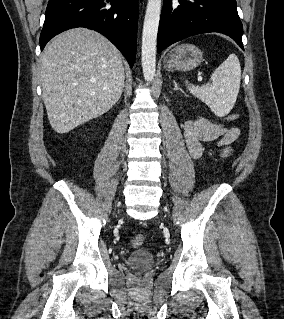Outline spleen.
<instances>
[{"label": "spleen", "instance_id": "spleen-1", "mask_svg": "<svg viewBox=\"0 0 284 319\" xmlns=\"http://www.w3.org/2000/svg\"><path fill=\"white\" fill-rule=\"evenodd\" d=\"M211 83L202 86L188 85V90L202 100L218 117L227 115L233 108L240 88L241 67L238 57L230 54L211 75Z\"/></svg>", "mask_w": 284, "mask_h": 319}]
</instances>
